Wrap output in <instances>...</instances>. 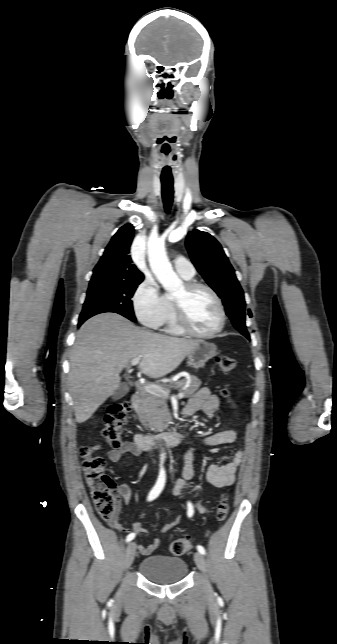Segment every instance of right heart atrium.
I'll use <instances>...</instances> for the list:
<instances>
[{"instance_id": "obj_1", "label": "right heart atrium", "mask_w": 337, "mask_h": 644, "mask_svg": "<svg viewBox=\"0 0 337 644\" xmlns=\"http://www.w3.org/2000/svg\"><path fill=\"white\" fill-rule=\"evenodd\" d=\"M134 310L139 321L149 328L161 326L166 314V300L152 278L145 279L133 296Z\"/></svg>"}]
</instances>
